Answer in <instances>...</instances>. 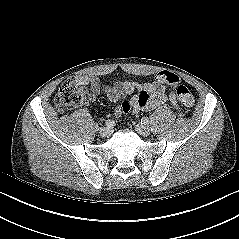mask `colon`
Instances as JSON below:
<instances>
[{
  "label": "colon",
  "mask_w": 239,
  "mask_h": 239,
  "mask_svg": "<svg viewBox=\"0 0 239 239\" xmlns=\"http://www.w3.org/2000/svg\"><path fill=\"white\" fill-rule=\"evenodd\" d=\"M155 80L159 83H168L175 89L178 100L187 107L194 104V96L189 88L181 83L178 75L169 71H161L155 76ZM86 102V92L83 86L76 80L69 78L62 82L55 98L54 104L58 110H64L69 107L81 106ZM131 108L129 100L123 101L121 109L128 112Z\"/></svg>",
  "instance_id": "colon-1"
}]
</instances>
